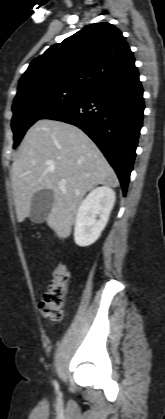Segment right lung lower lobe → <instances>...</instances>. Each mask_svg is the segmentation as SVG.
Returning a JSON list of instances; mask_svg holds the SVG:
<instances>
[{
	"mask_svg": "<svg viewBox=\"0 0 165 419\" xmlns=\"http://www.w3.org/2000/svg\"><path fill=\"white\" fill-rule=\"evenodd\" d=\"M143 89L135 65L105 81L76 102L42 119L70 123L82 129L100 148L126 194L142 127Z\"/></svg>",
	"mask_w": 165,
	"mask_h": 419,
	"instance_id": "1",
	"label": "right lung lower lobe"
}]
</instances>
